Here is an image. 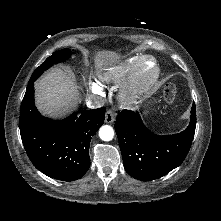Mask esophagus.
<instances>
[{
  "label": "esophagus",
  "mask_w": 221,
  "mask_h": 221,
  "mask_svg": "<svg viewBox=\"0 0 221 221\" xmlns=\"http://www.w3.org/2000/svg\"><path fill=\"white\" fill-rule=\"evenodd\" d=\"M115 120V112L114 109H109L105 113V122L112 123Z\"/></svg>",
  "instance_id": "1"
}]
</instances>
